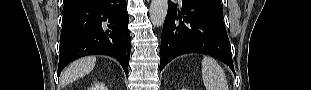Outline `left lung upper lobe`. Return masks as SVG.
I'll return each mask as SVG.
<instances>
[{"label":"left lung upper lobe","mask_w":311,"mask_h":90,"mask_svg":"<svg viewBox=\"0 0 311 90\" xmlns=\"http://www.w3.org/2000/svg\"><path fill=\"white\" fill-rule=\"evenodd\" d=\"M204 1L212 3L218 7H221V1L220 0H204Z\"/></svg>","instance_id":"5c2ea615"}]
</instances>
